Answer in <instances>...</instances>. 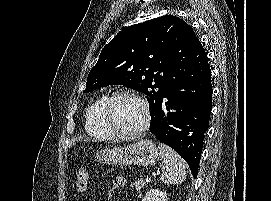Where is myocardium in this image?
I'll use <instances>...</instances> for the list:
<instances>
[{"mask_svg": "<svg viewBox=\"0 0 271 201\" xmlns=\"http://www.w3.org/2000/svg\"><path fill=\"white\" fill-rule=\"evenodd\" d=\"M122 96H130L140 102L144 110V121L142 125L133 131H124L119 129L114 123L112 117V106L114 102ZM102 116L107 127L119 137H136L144 133L151 124V110L147 99L141 95L139 92L132 89H121L113 92L110 96H108L107 100L102 109Z\"/></svg>", "mask_w": 271, "mask_h": 201, "instance_id": "myocardium-1", "label": "myocardium"}]
</instances>
